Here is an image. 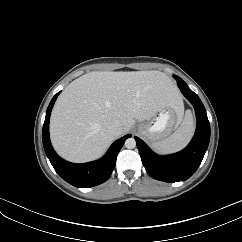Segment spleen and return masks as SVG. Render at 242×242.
Wrapping results in <instances>:
<instances>
[{
  "label": "spleen",
  "instance_id": "1",
  "mask_svg": "<svg viewBox=\"0 0 242 242\" xmlns=\"http://www.w3.org/2000/svg\"><path fill=\"white\" fill-rule=\"evenodd\" d=\"M194 133V122L191 114H186L177 130L168 138L152 144L159 153H172L183 149Z\"/></svg>",
  "mask_w": 242,
  "mask_h": 242
}]
</instances>
